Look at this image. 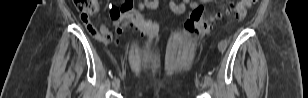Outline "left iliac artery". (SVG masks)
Returning a JSON list of instances; mask_svg holds the SVG:
<instances>
[{
    "mask_svg": "<svg viewBox=\"0 0 308 98\" xmlns=\"http://www.w3.org/2000/svg\"><path fill=\"white\" fill-rule=\"evenodd\" d=\"M205 80H206V82H207L208 84H211V83H212V79H211V77H209V76H205Z\"/></svg>",
    "mask_w": 308,
    "mask_h": 98,
    "instance_id": "obj_1",
    "label": "left iliac artery"
}]
</instances>
